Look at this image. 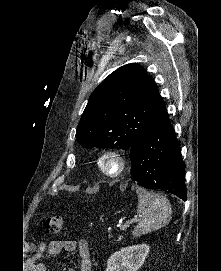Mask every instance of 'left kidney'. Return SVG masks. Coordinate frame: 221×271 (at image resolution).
Wrapping results in <instances>:
<instances>
[{
    "mask_svg": "<svg viewBox=\"0 0 221 271\" xmlns=\"http://www.w3.org/2000/svg\"><path fill=\"white\" fill-rule=\"evenodd\" d=\"M149 251L150 245L148 243L121 247L119 251L111 253L109 259H107L105 271H137L144 263Z\"/></svg>",
    "mask_w": 221,
    "mask_h": 271,
    "instance_id": "1",
    "label": "left kidney"
}]
</instances>
